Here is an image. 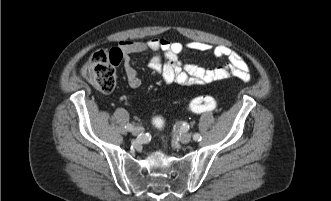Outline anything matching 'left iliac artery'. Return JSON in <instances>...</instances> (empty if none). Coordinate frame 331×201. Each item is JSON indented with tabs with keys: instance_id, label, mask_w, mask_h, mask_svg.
<instances>
[{
	"instance_id": "44dca946",
	"label": "left iliac artery",
	"mask_w": 331,
	"mask_h": 201,
	"mask_svg": "<svg viewBox=\"0 0 331 201\" xmlns=\"http://www.w3.org/2000/svg\"><path fill=\"white\" fill-rule=\"evenodd\" d=\"M179 126H180L182 129H184V130H186V129L189 128V125H188V123H186V122H181V123L179 124ZM193 139H194L195 141H200V140H201V136H200V134L195 133V134L193 135Z\"/></svg>"
}]
</instances>
